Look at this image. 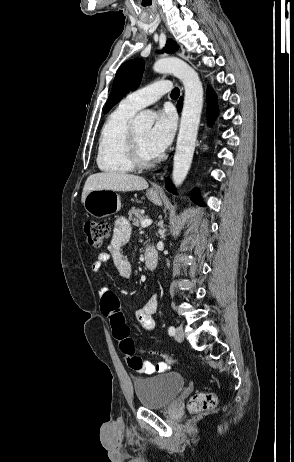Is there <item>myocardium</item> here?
<instances>
[{"instance_id": "obj_1", "label": "myocardium", "mask_w": 294, "mask_h": 462, "mask_svg": "<svg viewBox=\"0 0 294 462\" xmlns=\"http://www.w3.org/2000/svg\"><path fill=\"white\" fill-rule=\"evenodd\" d=\"M127 152L129 162L134 168H148L152 166L157 160V156L147 158L142 154L139 143L137 141V137L132 127H130L128 131Z\"/></svg>"}]
</instances>
